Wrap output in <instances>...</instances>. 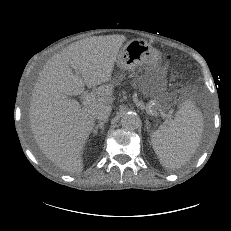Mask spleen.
<instances>
[{"instance_id": "spleen-1", "label": "spleen", "mask_w": 231, "mask_h": 231, "mask_svg": "<svg viewBox=\"0 0 231 231\" xmlns=\"http://www.w3.org/2000/svg\"><path fill=\"white\" fill-rule=\"evenodd\" d=\"M203 124L200 109L185 100L175 118L152 133V147L165 168L178 169L191 159L199 147Z\"/></svg>"}]
</instances>
